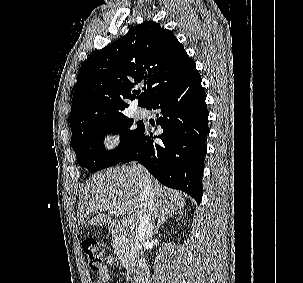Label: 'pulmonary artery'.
<instances>
[{
  "instance_id": "pulmonary-artery-1",
  "label": "pulmonary artery",
  "mask_w": 303,
  "mask_h": 283,
  "mask_svg": "<svg viewBox=\"0 0 303 283\" xmlns=\"http://www.w3.org/2000/svg\"><path fill=\"white\" fill-rule=\"evenodd\" d=\"M135 114L137 117H143L146 114V110L141 107H138L135 109Z\"/></svg>"
}]
</instances>
